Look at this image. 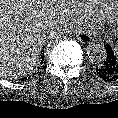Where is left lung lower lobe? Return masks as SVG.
Wrapping results in <instances>:
<instances>
[{"label": "left lung lower lobe", "mask_w": 118, "mask_h": 118, "mask_svg": "<svg viewBox=\"0 0 118 118\" xmlns=\"http://www.w3.org/2000/svg\"><path fill=\"white\" fill-rule=\"evenodd\" d=\"M105 49L106 59L96 69V72L103 80L118 83V58L109 45H105Z\"/></svg>", "instance_id": "1"}]
</instances>
